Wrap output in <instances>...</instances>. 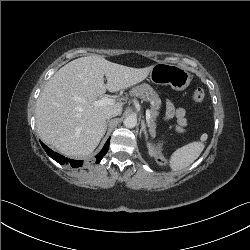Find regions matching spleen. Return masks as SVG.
<instances>
[{
    "instance_id": "spleen-1",
    "label": "spleen",
    "mask_w": 250,
    "mask_h": 250,
    "mask_svg": "<svg viewBox=\"0 0 250 250\" xmlns=\"http://www.w3.org/2000/svg\"><path fill=\"white\" fill-rule=\"evenodd\" d=\"M202 141H193L178 149L171 155L169 164L173 171H180L191 165L204 150Z\"/></svg>"
}]
</instances>
